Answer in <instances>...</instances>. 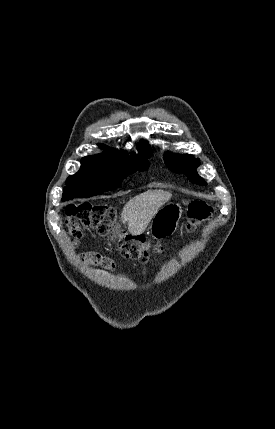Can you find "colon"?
I'll list each match as a JSON object with an SVG mask.
<instances>
[{
    "instance_id": "obj_1",
    "label": "colon",
    "mask_w": 275,
    "mask_h": 429,
    "mask_svg": "<svg viewBox=\"0 0 275 429\" xmlns=\"http://www.w3.org/2000/svg\"><path fill=\"white\" fill-rule=\"evenodd\" d=\"M212 215V208L203 201H194L188 208L186 230L193 232L207 222ZM65 223L73 238H79L84 229H94L100 236H106L119 245L122 255L131 260L146 263L153 253H159L160 246L151 247L144 239L124 233L120 234L114 221V210L106 204L73 203L65 212ZM85 260L91 264H100L113 268V262L96 253L86 254Z\"/></svg>"
}]
</instances>
